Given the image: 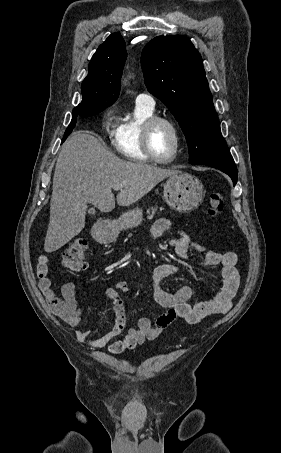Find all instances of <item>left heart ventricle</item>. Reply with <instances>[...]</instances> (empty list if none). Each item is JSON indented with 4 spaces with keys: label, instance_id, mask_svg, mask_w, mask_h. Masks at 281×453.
Returning <instances> with one entry per match:
<instances>
[{
    "label": "left heart ventricle",
    "instance_id": "left-heart-ventricle-1",
    "mask_svg": "<svg viewBox=\"0 0 281 453\" xmlns=\"http://www.w3.org/2000/svg\"><path fill=\"white\" fill-rule=\"evenodd\" d=\"M174 137L171 131L164 125H160L153 138L155 153L159 158H169L173 152Z\"/></svg>",
    "mask_w": 281,
    "mask_h": 453
}]
</instances>
